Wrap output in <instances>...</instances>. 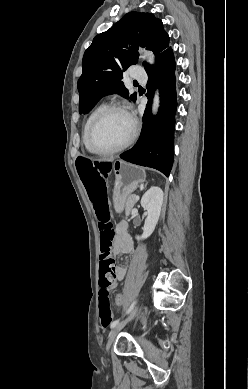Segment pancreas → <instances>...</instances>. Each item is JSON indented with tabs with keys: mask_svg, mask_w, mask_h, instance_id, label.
Returning a JSON list of instances; mask_svg holds the SVG:
<instances>
[{
	"mask_svg": "<svg viewBox=\"0 0 248 389\" xmlns=\"http://www.w3.org/2000/svg\"><path fill=\"white\" fill-rule=\"evenodd\" d=\"M136 202V199L134 198L133 195H130L126 201V206H125V212L128 214L131 210V208L133 207V205L135 204Z\"/></svg>",
	"mask_w": 248,
	"mask_h": 389,
	"instance_id": "1",
	"label": "pancreas"
}]
</instances>
